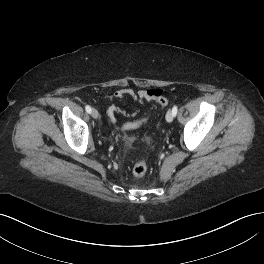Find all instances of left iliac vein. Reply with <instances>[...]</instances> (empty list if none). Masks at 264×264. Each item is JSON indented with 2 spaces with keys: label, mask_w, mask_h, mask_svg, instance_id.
<instances>
[{
  "label": "left iliac vein",
  "mask_w": 264,
  "mask_h": 264,
  "mask_svg": "<svg viewBox=\"0 0 264 264\" xmlns=\"http://www.w3.org/2000/svg\"><path fill=\"white\" fill-rule=\"evenodd\" d=\"M173 113H172V111H168L167 113H166V121L167 122H172V120H173Z\"/></svg>",
  "instance_id": "1"
}]
</instances>
